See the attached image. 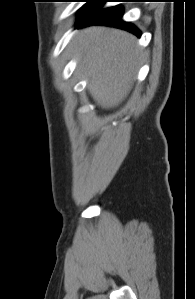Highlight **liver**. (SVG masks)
<instances>
[{
	"label": "liver",
	"instance_id": "1",
	"mask_svg": "<svg viewBox=\"0 0 195 299\" xmlns=\"http://www.w3.org/2000/svg\"><path fill=\"white\" fill-rule=\"evenodd\" d=\"M70 49L80 56L78 67L101 107L111 108L124 100L142 56L134 36L121 30L92 27L79 32Z\"/></svg>",
	"mask_w": 195,
	"mask_h": 299
}]
</instances>
